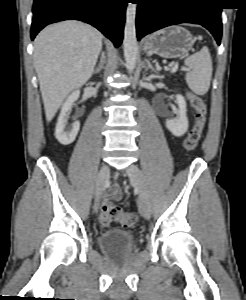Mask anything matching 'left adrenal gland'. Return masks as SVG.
I'll return each instance as SVG.
<instances>
[{"label": "left adrenal gland", "mask_w": 246, "mask_h": 300, "mask_svg": "<svg viewBox=\"0 0 246 300\" xmlns=\"http://www.w3.org/2000/svg\"><path fill=\"white\" fill-rule=\"evenodd\" d=\"M144 61L147 64L146 70L151 69L152 72H154L155 74H157V71L154 69V67L152 66L151 62L145 58Z\"/></svg>", "instance_id": "left-adrenal-gland-1"}]
</instances>
